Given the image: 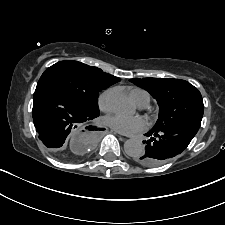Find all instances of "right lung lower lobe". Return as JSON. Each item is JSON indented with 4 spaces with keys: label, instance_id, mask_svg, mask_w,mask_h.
<instances>
[{
    "label": "right lung lower lobe",
    "instance_id": "right-lung-lower-lobe-1",
    "mask_svg": "<svg viewBox=\"0 0 225 225\" xmlns=\"http://www.w3.org/2000/svg\"><path fill=\"white\" fill-rule=\"evenodd\" d=\"M32 115L38 138L47 148L53 150L60 149L67 136L81 123L99 116L86 111L61 90L48 83L37 84L33 96Z\"/></svg>",
    "mask_w": 225,
    "mask_h": 225
}]
</instances>
